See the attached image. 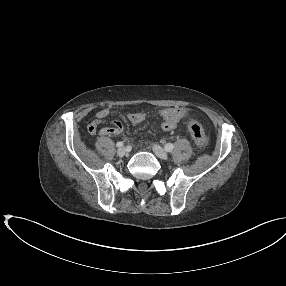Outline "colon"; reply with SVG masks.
Returning <instances> with one entry per match:
<instances>
[{"instance_id": "obj_1", "label": "colon", "mask_w": 286, "mask_h": 286, "mask_svg": "<svg viewBox=\"0 0 286 286\" xmlns=\"http://www.w3.org/2000/svg\"><path fill=\"white\" fill-rule=\"evenodd\" d=\"M189 131L196 145L199 147H205L207 144V137L203 126L198 122H191L189 124Z\"/></svg>"}]
</instances>
